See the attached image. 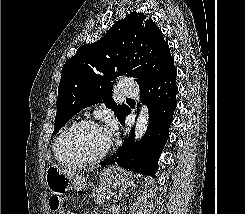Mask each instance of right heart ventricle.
I'll return each instance as SVG.
<instances>
[{
  "label": "right heart ventricle",
  "mask_w": 245,
  "mask_h": 214,
  "mask_svg": "<svg viewBox=\"0 0 245 214\" xmlns=\"http://www.w3.org/2000/svg\"><path fill=\"white\" fill-rule=\"evenodd\" d=\"M65 129H66V128H65ZM65 129H64V130H65ZM64 130H63V131H64ZM63 131L59 134V136L56 138V140H55V142H54V144H53V153H54L55 158L57 159L58 162H60L61 164L67 165V164L61 162V161L57 158L56 153H55L56 142H57L58 138L60 137V135L63 133Z\"/></svg>",
  "instance_id": "right-heart-ventricle-1"
}]
</instances>
